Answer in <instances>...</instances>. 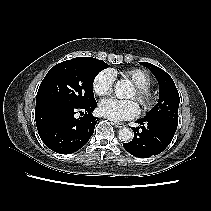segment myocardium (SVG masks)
<instances>
[{
  "mask_svg": "<svg viewBox=\"0 0 211 211\" xmlns=\"http://www.w3.org/2000/svg\"><path fill=\"white\" fill-rule=\"evenodd\" d=\"M136 101L144 111L151 110L157 101L156 93L150 87H135Z\"/></svg>",
  "mask_w": 211,
  "mask_h": 211,
  "instance_id": "obj_1",
  "label": "myocardium"
}]
</instances>
